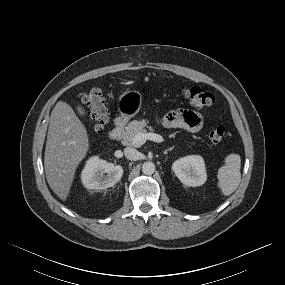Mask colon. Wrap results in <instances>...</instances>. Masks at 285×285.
Wrapping results in <instances>:
<instances>
[{"mask_svg": "<svg viewBox=\"0 0 285 285\" xmlns=\"http://www.w3.org/2000/svg\"><path fill=\"white\" fill-rule=\"evenodd\" d=\"M182 94L194 108L208 107L214 102L213 95L199 87H184ZM82 102L89 108L88 118L94 130L101 131L109 118V110L103 93L100 89L93 88L82 97ZM225 135V126L215 125L209 131V140L213 145H217L224 139Z\"/></svg>", "mask_w": 285, "mask_h": 285, "instance_id": "5ec220e1", "label": "colon"}]
</instances>
